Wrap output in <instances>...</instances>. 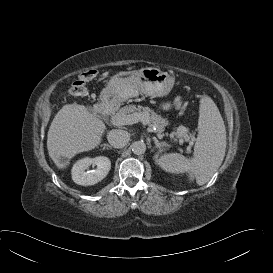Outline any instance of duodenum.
Wrapping results in <instances>:
<instances>
[{"mask_svg": "<svg viewBox=\"0 0 273 273\" xmlns=\"http://www.w3.org/2000/svg\"><path fill=\"white\" fill-rule=\"evenodd\" d=\"M96 110L101 114H106L108 112V106L104 103L97 104Z\"/></svg>", "mask_w": 273, "mask_h": 273, "instance_id": "1", "label": "duodenum"}]
</instances>
